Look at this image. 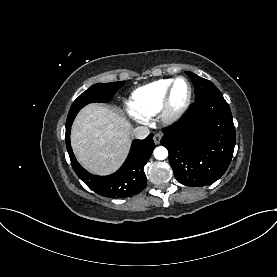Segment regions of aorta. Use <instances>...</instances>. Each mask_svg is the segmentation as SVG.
Segmentation results:
<instances>
[{"instance_id":"762f6f07","label":"aorta","mask_w":277,"mask_h":277,"mask_svg":"<svg viewBox=\"0 0 277 277\" xmlns=\"http://www.w3.org/2000/svg\"><path fill=\"white\" fill-rule=\"evenodd\" d=\"M154 157L157 160H164L168 157V151L165 147L159 146L154 149Z\"/></svg>"}]
</instances>
